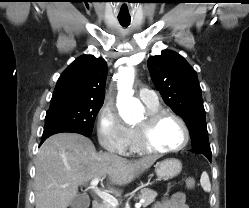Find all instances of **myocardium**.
<instances>
[{
  "instance_id": "1",
  "label": "myocardium",
  "mask_w": 249,
  "mask_h": 208,
  "mask_svg": "<svg viewBox=\"0 0 249 208\" xmlns=\"http://www.w3.org/2000/svg\"><path fill=\"white\" fill-rule=\"evenodd\" d=\"M165 118H172L176 120L182 127L184 132L183 142L171 149H159L151 145L149 141L150 133L158 126V124ZM136 134V144L140 152L148 154H169L176 153L183 150L190 141V130L186 122L177 114L167 111V110H158L155 112H148L144 121L137 125L135 128Z\"/></svg>"
}]
</instances>
